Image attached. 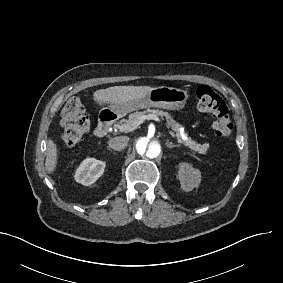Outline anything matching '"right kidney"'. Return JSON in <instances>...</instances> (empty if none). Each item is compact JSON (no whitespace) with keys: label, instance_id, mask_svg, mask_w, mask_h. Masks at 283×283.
<instances>
[{"label":"right kidney","instance_id":"1","mask_svg":"<svg viewBox=\"0 0 283 283\" xmlns=\"http://www.w3.org/2000/svg\"><path fill=\"white\" fill-rule=\"evenodd\" d=\"M105 162L95 158H86L76 169L74 179L82 185L93 184L104 172Z\"/></svg>","mask_w":283,"mask_h":283}]
</instances>
